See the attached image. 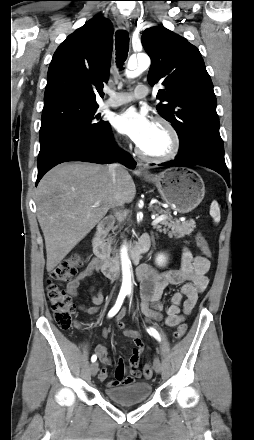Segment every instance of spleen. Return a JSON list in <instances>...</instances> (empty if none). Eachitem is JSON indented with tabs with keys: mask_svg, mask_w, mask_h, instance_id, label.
Masks as SVG:
<instances>
[{
	"mask_svg": "<svg viewBox=\"0 0 254 440\" xmlns=\"http://www.w3.org/2000/svg\"><path fill=\"white\" fill-rule=\"evenodd\" d=\"M210 214L213 217L215 223H218L220 221V209L216 201H213L211 204Z\"/></svg>",
	"mask_w": 254,
	"mask_h": 440,
	"instance_id": "spleen-1",
	"label": "spleen"
}]
</instances>
